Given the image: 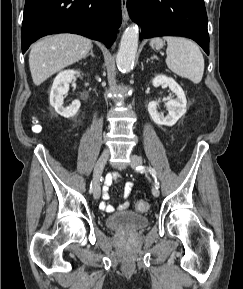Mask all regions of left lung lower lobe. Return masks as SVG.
I'll list each match as a JSON object with an SVG mask.
<instances>
[{
  "mask_svg": "<svg viewBox=\"0 0 243 289\" xmlns=\"http://www.w3.org/2000/svg\"><path fill=\"white\" fill-rule=\"evenodd\" d=\"M132 21L141 25L140 40L156 36H184L209 55L207 14L203 0H127Z\"/></svg>",
  "mask_w": 243,
  "mask_h": 289,
  "instance_id": "0a47b994",
  "label": "left lung lower lobe"
}]
</instances>
